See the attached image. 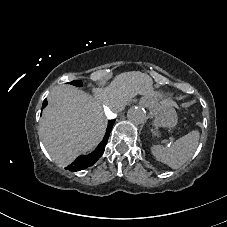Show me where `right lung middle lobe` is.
I'll return each mask as SVG.
<instances>
[{
  "label": "right lung middle lobe",
  "instance_id": "obj_1",
  "mask_svg": "<svg viewBox=\"0 0 227 227\" xmlns=\"http://www.w3.org/2000/svg\"><path fill=\"white\" fill-rule=\"evenodd\" d=\"M70 84L78 86V87H81L83 85V83L79 80L72 81V82H70ZM45 105H46V103H45Z\"/></svg>",
  "mask_w": 227,
  "mask_h": 227
}]
</instances>
